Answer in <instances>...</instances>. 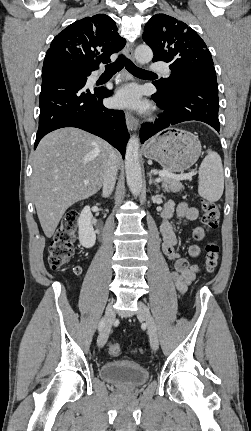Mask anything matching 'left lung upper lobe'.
Here are the masks:
<instances>
[{
  "label": "left lung upper lobe",
  "instance_id": "1",
  "mask_svg": "<svg viewBox=\"0 0 251 431\" xmlns=\"http://www.w3.org/2000/svg\"><path fill=\"white\" fill-rule=\"evenodd\" d=\"M143 40L154 53L153 62L169 63V78L156 81L171 92L188 80H216L211 53L200 36L185 23L165 14L154 15L144 27Z\"/></svg>",
  "mask_w": 251,
  "mask_h": 431
}]
</instances>
